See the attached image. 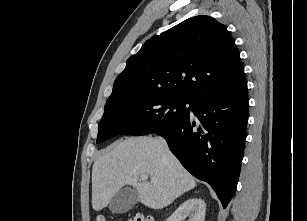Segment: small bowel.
<instances>
[{"label":"small bowel","instance_id":"small-bowel-1","mask_svg":"<svg viewBox=\"0 0 307 221\" xmlns=\"http://www.w3.org/2000/svg\"><path fill=\"white\" fill-rule=\"evenodd\" d=\"M151 221H154V219H153V218H151Z\"/></svg>","mask_w":307,"mask_h":221}]
</instances>
